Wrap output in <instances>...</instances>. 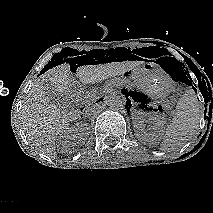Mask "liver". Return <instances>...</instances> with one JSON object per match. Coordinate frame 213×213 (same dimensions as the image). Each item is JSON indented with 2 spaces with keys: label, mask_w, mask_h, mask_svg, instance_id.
Instances as JSON below:
<instances>
[{
  "label": "liver",
  "mask_w": 213,
  "mask_h": 213,
  "mask_svg": "<svg viewBox=\"0 0 213 213\" xmlns=\"http://www.w3.org/2000/svg\"><path fill=\"white\" fill-rule=\"evenodd\" d=\"M142 64L125 61L109 64L80 66L76 75L83 84L93 83L107 77L121 75ZM51 84L59 93L68 94L75 81L70 75L69 63H63L47 70L32 86L22 106L23 130L31 144L49 157H56L55 138L69 127L77 115L61 110L51 102L45 92V84Z\"/></svg>",
  "instance_id": "liver-1"
}]
</instances>
